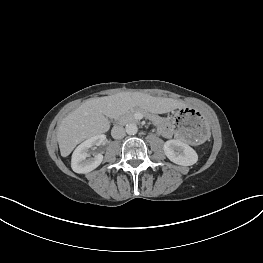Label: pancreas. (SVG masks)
<instances>
[{
    "label": "pancreas",
    "instance_id": "cf45deb5",
    "mask_svg": "<svg viewBox=\"0 0 263 263\" xmlns=\"http://www.w3.org/2000/svg\"><path fill=\"white\" fill-rule=\"evenodd\" d=\"M140 111H141L140 109L135 108V109H132V110L125 112L124 114H122L119 117V122L124 124V123H127L129 121H133L134 120V114L136 112H140ZM147 116L155 125H158L160 123V119L157 116L150 115V114H147Z\"/></svg>",
    "mask_w": 263,
    "mask_h": 263
}]
</instances>
